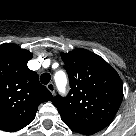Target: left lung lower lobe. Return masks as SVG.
I'll list each match as a JSON object with an SVG mask.
<instances>
[{
    "label": "left lung lower lobe",
    "mask_w": 136,
    "mask_h": 136,
    "mask_svg": "<svg viewBox=\"0 0 136 136\" xmlns=\"http://www.w3.org/2000/svg\"><path fill=\"white\" fill-rule=\"evenodd\" d=\"M103 128H98V127H86V128H81L76 130L77 132L84 134V135H92L98 131H100Z\"/></svg>",
    "instance_id": "0a47b994"
}]
</instances>
